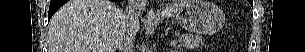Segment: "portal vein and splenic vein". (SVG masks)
<instances>
[{
	"mask_svg": "<svg viewBox=\"0 0 305 52\" xmlns=\"http://www.w3.org/2000/svg\"><path fill=\"white\" fill-rule=\"evenodd\" d=\"M177 45V41L176 40H173L170 42V46H176Z\"/></svg>",
	"mask_w": 305,
	"mask_h": 52,
	"instance_id": "portal-vein-and-splenic-vein-1",
	"label": "portal vein and splenic vein"
}]
</instances>
